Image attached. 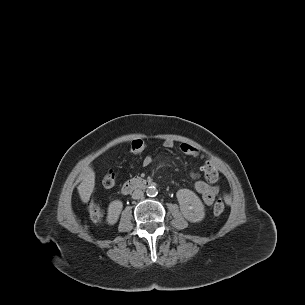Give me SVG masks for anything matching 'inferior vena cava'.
Instances as JSON below:
<instances>
[{
	"label": "inferior vena cava",
	"mask_w": 305,
	"mask_h": 305,
	"mask_svg": "<svg viewBox=\"0 0 305 305\" xmlns=\"http://www.w3.org/2000/svg\"><path fill=\"white\" fill-rule=\"evenodd\" d=\"M144 195L143 191L140 189H136L133 193H132V198L133 199H140L142 198Z\"/></svg>",
	"instance_id": "inferior-vena-cava-1"
}]
</instances>
